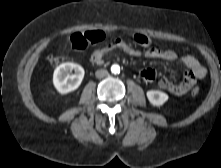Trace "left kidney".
I'll return each instance as SVG.
<instances>
[{
    "mask_svg": "<svg viewBox=\"0 0 221 168\" xmlns=\"http://www.w3.org/2000/svg\"><path fill=\"white\" fill-rule=\"evenodd\" d=\"M146 95L149 102L154 106H162L169 98L166 93L159 90H149Z\"/></svg>",
    "mask_w": 221,
    "mask_h": 168,
    "instance_id": "obj_1",
    "label": "left kidney"
}]
</instances>
